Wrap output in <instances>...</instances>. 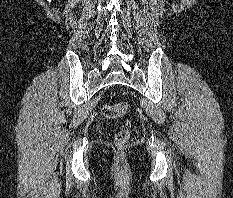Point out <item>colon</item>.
<instances>
[{"label":"colon","instance_id":"obj_1","mask_svg":"<svg viewBox=\"0 0 233 198\" xmlns=\"http://www.w3.org/2000/svg\"><path fill=\"white\" fill-rule=\"evenodd\" d=\"M128 110L126 102H119L113 105H106L102 109V113L106 118L115 119L123 116ZM130 138V131L128 129H121L115 135V144L118 147H124Z\"/></svg>","mask_w":233,"mask_h":198}]
</instances>
